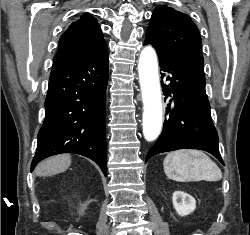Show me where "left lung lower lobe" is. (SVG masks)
Segmentation results:
<instances>
[{"label":"left lung lower lobe","instance_id":"left-lung-lower-lobe-1","mask_svg":"<svg viewBox=\"0 0 250 235\" xmlns=\"http://www.w3.org/2000/svg\"><path fill=\"white\" fill-rule=\"evenodd\" d=\"M144 44H148L147 41ZM163 72H170L163 85L165 101L169 100L162 134L146 156L178 149H199L214 155L223 165L218 147V134L210 116L205 91L203 56L200 51L184 53L157 52ZM161 80L165 73H161Z\"/></svg>","mask_w":250,"mask_h":235}]
</instances>
